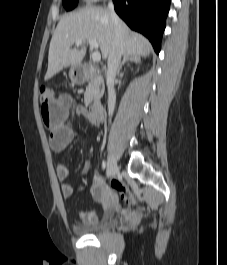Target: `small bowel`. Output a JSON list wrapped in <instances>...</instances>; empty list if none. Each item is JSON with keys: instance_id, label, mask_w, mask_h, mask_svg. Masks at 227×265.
<instances>
[{"instance_id": "obj_1", "label": "small bowel", "mask_w": 227, "mask_h": 265, "mask_svg": "<svg viewBox=\"0 0 227 265\" xmlns=\"http://www.w3.org/2000/svg\"><path fill=\"white\" fill-rule=\"evenodd\" d=\"M69 104H76V99L60 97L53 99L51 102H41L40 117H42L44 124L49 129V144L55 152L63 151L73 141L75 136L73 128L67 124ZM75 111L77 115L88 119L97 128L99 127L98 121L91 116L85 107L77 105ZM69 173V168L66 164H59L56 168L61 193L66 199L73 196V187L68 182ZM91 195L96 202L108 210L110 196L105 193L99 174L93 177ZM79 217L81 222L86 225H94L99 221L98 215L92 211H81L79 212Z\"/></svg>"}]
</instances>
